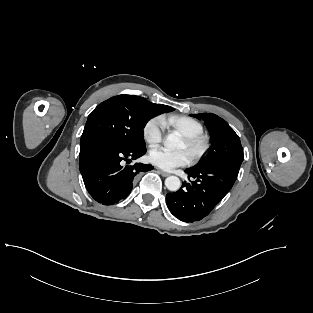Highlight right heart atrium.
Here are the masks:
<instances>
[{
    "instance_id": "d8ad5b80",
    "label": "right heart atrium",
    "mask_w": 313,
    "mask_h": 313,
    "mask_svg": "<svg viewBox=\"0 0 313 313\" xmlns=\"http://www.w3.org/2000/svg\"><path fill=\"white\" fill-rule=\"evenodd\" d=\"M164 122L161 117H153L149 119L143 127L144 140L150 146L158 145L163 138Z\"/></svg>"
}]
</instances>
